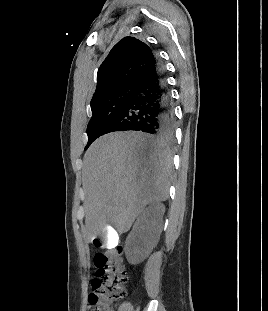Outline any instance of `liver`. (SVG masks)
Wrapping results in <instances>:
<instances>
[{
	"label": "liver",
	"instance_id": "6515ba94",
	"mask_svg": "<svg viewBox=\"0 0 268 311\" xmlns=\"http://www.w3.org/2000/svg\"><path fill=\"white\" fill-rule=\"evenodd\" d=\"M171 171L170 153L142 133L114 132L94 141L82 169L86 241L107 236L110 226L129 231L147 204L168 198Z\"/></svg>",
	"mask_w": 268,
	"mask_h": 311
}]
</instances>
